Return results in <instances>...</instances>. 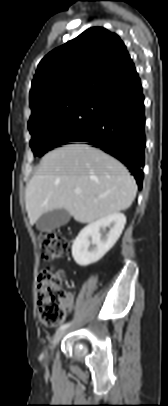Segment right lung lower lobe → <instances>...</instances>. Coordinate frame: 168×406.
Here are the masks:
<instances>
[{
  "label": "right lung lower lobe",
  "instance_id": "98d812e1",
  "mask_svg": "<svg viewBox=\"0 0 168 406\" xmlns=\"http://www.w3.org/2000/svg\"><path fill=\"white\" fill-rule=\"evenodd\" d=\"M98 120L70 142H86L125 164L142 187L145 143L144 96L139 77L101 98Z\"/></svg>",
  "mask_w": 168,
  "mask_h": 406
}]
</instances>
